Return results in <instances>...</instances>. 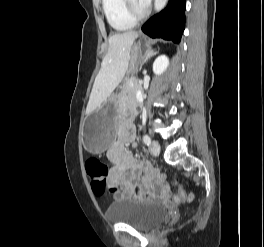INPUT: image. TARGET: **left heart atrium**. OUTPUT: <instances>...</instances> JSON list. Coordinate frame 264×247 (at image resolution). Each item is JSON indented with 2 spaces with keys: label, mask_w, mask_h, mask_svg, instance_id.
<instances>
[{
  "label": "left heart atrium",
  "mask_w": 264,
  "mask_h": 247,
  "mask_svg": "<svg viewBox=\"0 0 264 247\" xmlns=\"http://www.w3.org/2000/svg\"><path fill=\"white\" fill-rule=\"evenodd\" d=\"M138 2L144 6V7H147L148 4L150 3V0H138Z\"/></svg>",
  "instance_id": "obj_1"
}]
</instances>
